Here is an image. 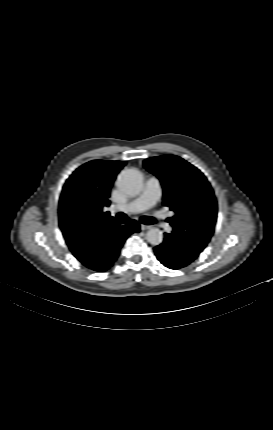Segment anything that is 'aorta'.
Here are the masks:
<instances>
[{
    "instance_id": "aorta-1",
    "label": "aorta",
    "mask_w": 273,
    "mask_h": 430,
    "mask_svg": "<svg viewBox=\"0 0 273 430\" xmlns=\"http://www.w3.org/2000/svg\"><path fill=\"white\" fill-rule=\"evenodd\" d=\"M117 188L128 196H136L143 185V176L136 169L123 170L116 181ZM147 241L152 245H159L163 241L162 231L158 228H151L146 234Z\"/></svg>"
}]
</instances>
